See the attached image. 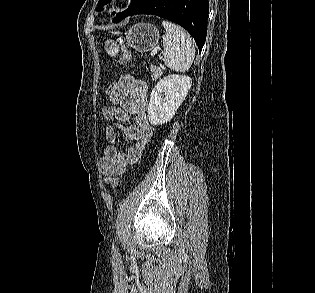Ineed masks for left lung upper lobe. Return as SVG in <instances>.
<instances>
[{"mask_svg": "<svg viewBox=\"0 0 315 293\" xmlns=\"http://www.w3.org/2000/svg\"><path fill=\"white\" fill-rule=\"evenodd\" d=\"M143 0H132L129 8L121 13L117 14V17L113 20L114 23H117L127 17ZM111 0H99L97 11H102V6L108 4Z\"/></svg>", "mask_w": 315, "mask_h": 293, "instance_id": "5c2ea615", "label": "left lung upper lobe"}]
</instances>
